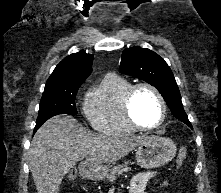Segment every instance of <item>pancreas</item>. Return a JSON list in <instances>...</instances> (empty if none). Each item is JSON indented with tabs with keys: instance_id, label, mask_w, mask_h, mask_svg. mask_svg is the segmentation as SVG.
Returning a JSON list of instances; mask_svg holds the SVG:
<instances>
[{
	"instance_id": "cf45deb5",
	"label": "pancreas",
	"mask_w": 221,
	"mask_h": 193,
	"mask_svg": "<svg viewBox=\"0 0 221 193\" xmlns=\"http://www.w3.org/2000/svg\"><path fill=\"white\" fill-rule=\"evenodd\" d=\"M131 168L128 165H117L114 168L111 169L110 174H107V178L109 181L113 182L117 176L122 175L124 172L130 171Z\"/></svg>"
}]
</instances>
